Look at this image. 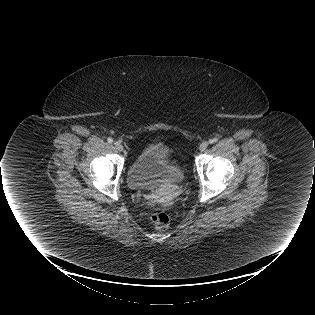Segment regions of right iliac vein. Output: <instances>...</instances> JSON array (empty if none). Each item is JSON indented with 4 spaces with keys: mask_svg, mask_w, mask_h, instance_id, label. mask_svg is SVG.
I'll return each instance as SVG.
<instances>
[{
    "mask_svg": "<svg viewBox=\"0 0 315 315\" xmlns=\"http://www.w3.org/2000/svg\"><path fill=\"white\" fill-rule=\"evenodd\" d=\"M114 145L118 151L123 150V145L120 142L116 141V142H114Z\"/></svg>",
    "mask_w": 315,
    "mask_h": 315,
    "instance_id": "1",
    "label": "right iliac vein"
}]
</instances>
